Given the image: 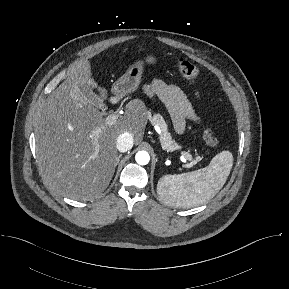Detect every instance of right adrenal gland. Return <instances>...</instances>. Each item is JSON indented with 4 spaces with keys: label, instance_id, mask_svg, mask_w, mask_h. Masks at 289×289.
I'll return each mask as SVG.
<instances>
[{
    "label": "right adrenal gland",
    "instance_id": "1",
    "mask_svg": "<svg viewBox=\"0 0 289 289\" xmlns=\"http://www.w3.org/2000/svg\"><path fill=\"white\" fill-rule=\"evenodd\" d=\"M120 158H121V154L118 156V162H119Z\"/></svg>",
    "mask_w": 289,
    "mask_h": 289
}]
</instances>
